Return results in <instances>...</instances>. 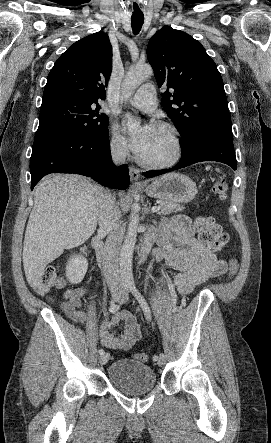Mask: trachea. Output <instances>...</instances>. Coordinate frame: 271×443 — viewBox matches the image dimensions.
<instances>
[{
	"label": "trachea",
	"mask_w": 271,
	"mask_h": 443,
	"mask_svg": "<svg viewBox=\"0 0 271 443\" xmlns=\"http://www.w3.org/2000/svg\"><path fill=\"white\" fill-rule=\"evenodd\" d=\"M132 6L131 25L134 35H137L144 23V11L141 9L139 0H128Z\"/></svg>",
	"instance_id": "trachea-1"
}]
</instances>
